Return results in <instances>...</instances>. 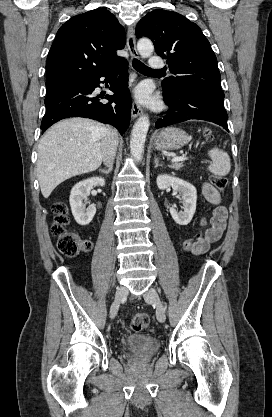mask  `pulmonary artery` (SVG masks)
<instances>
[{
    "label": "pulmonary artery",
    "instance_id": "obj_1",
    "mask_svg": "<svg viewBox=\"0 0 272 417\" xmlns=\"http://www.w3.org/2000/svg\"><path fill=\"white\" fill-rule=\"evenodd\" d=\"M165 67V63L164 61L158 57V56H153L150 58V68L154 69V70H159Z\"/></svg>",
    "mask_w": 272,
    "mask_h": 417
}]
</instances>
